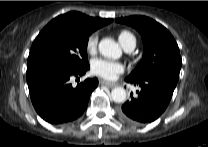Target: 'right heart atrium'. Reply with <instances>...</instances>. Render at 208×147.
<instances>
[{
  "label": "right heart atrium",
  "mask_w": 208,
  "mask_h": 147,
  "mask_svg": "<svg viewBox=\"0 0 208 147\" xmlns=\"http://www.w3.org/2000/svg\"><path fill=\"white\" fill-rule=\"evenodd\" d=\"M98 46V35L96 33L90 35L86 42V49L88 53L93 54L96 52Z\"/></svg>",
  "instance_id": "d8ad5b80"
}]
</instances>
